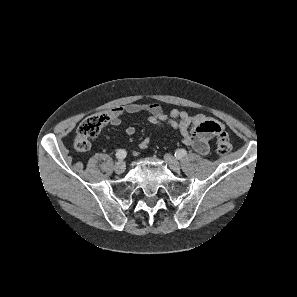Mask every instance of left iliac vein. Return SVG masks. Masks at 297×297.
I'll list each match as a JSON object with an SVG mask.
<instances>
[{
  "label": "left iliac vein",
  "instance_id": "obj_1",
  "mask_svg": "<svg viewBox=\"0 0 297 297\" xmlns=\"http://www.w3.org/2000/svg\"><path fill=\"white\" fill-rule=\"evenodd\" d=\"M164 160L167 163V165L169 166V168L175 172H179L180 171V164L179 162L170 154H165L164 156Z\"/></svg>",
  "mask_w": 297,
  "mask_h": 297
}]
</instances>
